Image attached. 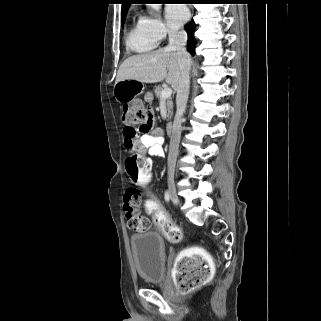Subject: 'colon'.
<instances>
[{
	"label": "colon",
	"mask_w": 321,
	"mask_h": 321,
	"mask_svg": "<svg viewBox=\"0 0 321 321\" xmlns=\"http://www.w3.org/2000/svg\"><path fill=\"white\" fill-rule=\"evenodd\" d=\"M123 123L125 130L133 135L140 136L151 130L153 115L144 107L141 101L132 100L123 105ZM126 171L134 183L144 184L150 178L151 161L141 155L130 152L125 160ZM127 225L135 232L149 229L150 221L140 213L141 193L136 188H128L124 196ZM159 196H147L143 207L151 221L155 222L164 236L173 243L183 239L182 230L176 225L159 205ZM212 263L208 255L196 248L187 249L175 262L173 276L181 292L192 291L212 277Z\"/></svg>",
	"instance_id": "5ec220e1"
}]
</instances>
